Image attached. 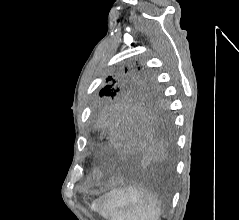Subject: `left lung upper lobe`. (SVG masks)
<instances>
[{
  "label": "left lung upper lobe",
  "instance_id": "5c2ea615",
  "mask_svg": "<svg viewBox=\"0 0 239 220\" xmlns=\"http://www.w3.org/2000/svg\"><path fill=\"white\" fill-rule=\"evenodd\" d=\"M152 77V73L141 65L118 70L109 76L99 92L100 99L93 106L94 124L103 110L116 106L133 110L146 108L164 113L165 100Z\"/></svg>",
  "mask_w": 239,
  "mask_h": 220
}]
</instances>
